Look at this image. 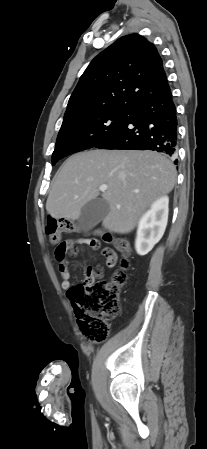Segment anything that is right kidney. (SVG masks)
Segmentation results:
<instances>
[{
    "label": "right kidney",
    "mask_w": 207,
    "mask_h": 449,
    "mask_svg": "<svg viewBox=\"0 0 207 449\" xmlns=\"http://www.w3.org/2000/svg\"><path fill=\"white\" fill-rule=\"evenodd\" d=\"M168 204V196H162L141 217L135 241V249L139 255H146L162 238L168 221Z\"/></svg>",
    "instance_id": "right-kidney-1"
}]
</instances>
